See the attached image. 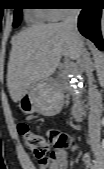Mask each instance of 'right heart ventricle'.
<instances>
[{
  "label": "right heart ventricle",
  "instance_id": "obj_1",
  "mask_svg": "<svg viewBox=\"0 0 104 169\" xmlns=\"http://www.w3.org/2000/svg\"><path fill=\"white\" fill-rule=\"evenodd\" d=\"M32 15L35 17V19L38 22H41V23L53 20L52 19V15H53L52 10L46 9V8H39V9L33 10Z\"/></svg>",
  "mask_w": 104,
  "mask_h": 169
}]
</instances>
